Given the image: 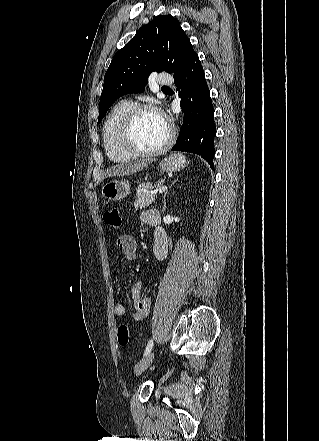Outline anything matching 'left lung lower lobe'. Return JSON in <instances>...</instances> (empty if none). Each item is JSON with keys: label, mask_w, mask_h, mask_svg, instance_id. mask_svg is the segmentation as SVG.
Listing matches in <instances>:
<instances>
[{"label": "left lung lower lobe", "mask_w": 319, "mask_h": 441, "mask_svg": "<svg viewBox=\"0 0 319 441\" xmlns=\"http://www.w3.org/2000/svg\"><path fill=\"white\" fill-rule=\"evenodd\" d=\"M174 82L179 88L178 95L182 98L184 124L172 150L198 154L214 169V109L197 54L174 76Z\"/></svg>", "instance_id": "left-lung-lower-lobe-1"}]
</instances>
